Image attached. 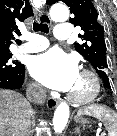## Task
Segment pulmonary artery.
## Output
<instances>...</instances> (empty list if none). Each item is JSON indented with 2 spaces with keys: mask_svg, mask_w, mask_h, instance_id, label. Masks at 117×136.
Listing matches in <instances>:
<instances>
[{
  "mask_svg": "<svg viewBox=\"0 0 117 136\" xmlns=\"http://www.w3.org/2000/svg\"><path fill=\"white\" fill-rule=\"evenodd\" d=\"M54 36L57 39H68L70 37V29L66 23H60L56 26ZM49 46V41L42 36H32V38L20 47V50L25 53H34L46 49Z\"/></svg>",
  "mask_w": 117,
  "mask_h": 136,
  "instance_id": "pulmonary-artery-1",
  "label": "pulmonary artery"
}]
</instances>
